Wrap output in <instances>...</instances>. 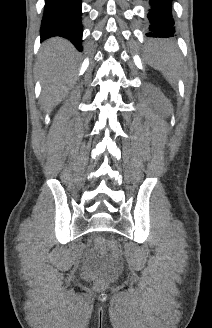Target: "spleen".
Returning <instances> with one entry per match:
<instances>
[{"instance_id":"1","label":"spleen","mask_w":212,"mask_h":328,"mask_svg":"<svg viewBox=\"0 0 212 328\" xmlns=\"http://www.w3.org/2000/svg\"><path fill=\"white\" fill-rule=\"evenodd\" d=\"M149 59L151 65L162 71L170 81L176 78L179 58L172 44L156 41L149 49Z\"/></svg>"}]
</instances>
